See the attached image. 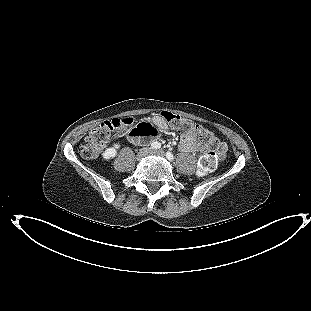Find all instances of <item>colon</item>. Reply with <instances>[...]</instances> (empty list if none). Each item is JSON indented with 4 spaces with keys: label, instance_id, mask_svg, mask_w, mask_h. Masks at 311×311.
<instances>
[{
    "label": "colon",
    "instance_id": "obj_1",
    "mask_svg": "<svg viewBox=\"0 0 311 311\" xmlns=\"http://www.w3.org/2000/svg\"><path fill=\"white\" fill-rule=\"evenodd\" d=\"M162 117L171 126L182 132L189 134L199 143L209 147V150L200 158L198 171L204 175L211 172L219 160L225 156L226 147L215 138L211 132L188 118L181 117L171 112H163ZM129 117L114 118L104 121L86 136L84 144L80 147V154L86 159L96 158L100 151L115 137L122 135L131 125ZM137 136H153L156 131L151 127H138L133 131Z\"/></svg>",
    "mask_w": 311,
    "mask_h": 311
}]
</instances>
